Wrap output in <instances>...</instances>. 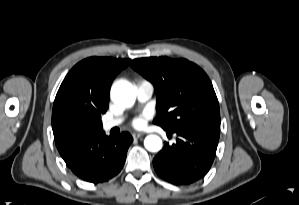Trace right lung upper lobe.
<instances>
[{
  "label": "right lung upper lobe",
  "mask_w": 299,
  "mask_h": 205,
  "mask_svg": "<svg viewBox=\"0 0 299 205\" xmlns=\"http://www.w3.org/2000/svg\"><path fill=\"white\" fill-rule=\"evenodd\" d=\"M129 63L130 59L90 57L76 64L67 74L52 111L54 139L62 158L85 139L72 131L75 124L102 125L101 115L108 108L112 81Z\"/></svg>",
  "instance_id": "1"
}]
</instances>
